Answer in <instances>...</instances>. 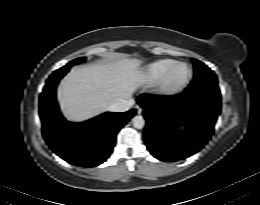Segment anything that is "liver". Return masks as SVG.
<instances>
[{
  "label": "liver",
  "mask_w": 260,
  "mask_h": 205,
  "mask_svg": "<svg viewBox=\"0 0 260 205\" xmlns=\"http://www.w3.org/2000/svg\"><path fill=\"white\" fill-rule=\"evenodd\" d=\"M141 61L126 56L72 69L61 81L58 100L73 122L88 120L118 101L128 100L144 83Z\"/></svg>",
  "instance_id": "liver-1"
}]
</instances>
